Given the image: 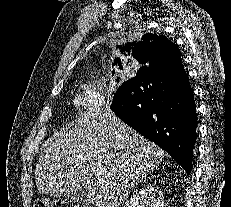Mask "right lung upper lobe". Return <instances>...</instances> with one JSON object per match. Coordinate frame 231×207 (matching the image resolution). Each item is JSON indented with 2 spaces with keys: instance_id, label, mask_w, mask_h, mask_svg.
I'll use <instances>...</instances> for the list:
<instances>
[{
  "instance_id": "right-lung-upper-lobe-1",
  "label": "right lung upper lobe",
  "mask_w": 231,
  "mask_h": 207,
  "mask_svg": "<svg viewBox=\"0 0 231 207\" xmlns=\"http://www.w3.org/2000/svg\"><path fill=\"white\" fill-rule=\"evenodd\" d=\"M142 40L117 46L123 54L121 58L115 59L118 65H121L125 57L130 55L139 63L146 64L145 66L160 65L164 69L172 70L182 65L178 46L165 36L146 34Z\"/></svg>"
}]
</instances>
